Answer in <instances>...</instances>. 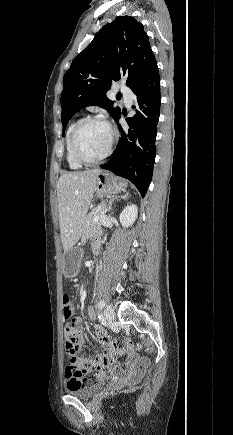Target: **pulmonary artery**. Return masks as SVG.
Segmentation results:
<instances>
[{"label": "pulmonary artery", "mask_w": 233, "mask_h": 435, "mask_svg": "<svg viewBox=\"0 0 233 435\" xmlns=\"http://www.w3.org/2000/svg\"><path fill=\"white\" fill-rule=\"evenodd\" d=\"M118 91L120 92V94L122 95V97L124 98V101L127 105H130L134 95L133 93L130 91L129 88H127L126 86H120L118 88Z\"/></svg>", "instance_id": "e3ab8cb5"}]
</instances>
